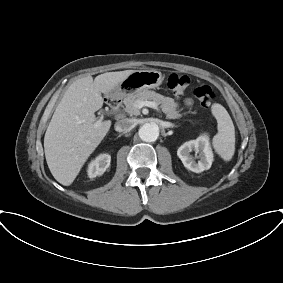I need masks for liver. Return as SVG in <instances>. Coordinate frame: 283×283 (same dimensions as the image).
<instances>
[{
  "mask_svg": "<svg viewBox=\"0 0 283 283\" xmlns=\"http://www.w3.org/2000/svg\"><path fill=\"white\" fill-rule=\"evenodd\" d=\"M134 71L107 72L94 80L88 75L64 93L44 137L47 165L60 184L73 183L111 127L110 120L96 124L95 112L103 106L101 93L108 94Z\"/></svg>",
  "mask_w": 283,
  "mask_h": 283,
  "instance_id": "obj_1",
  "label": "liver"
}]
</instances>
